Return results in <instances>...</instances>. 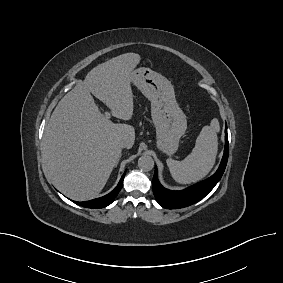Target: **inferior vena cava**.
<instances>
[{
  "instance_id": "1",
  "label": "inferior vena cava",
  "mask_w": 283,
  "mask_h": 283,
  "mask_svg": "<svg viewBox=\"0 0 283 283\" xmlns=\"http://www.w3.org/2000/svg\"><path fill=\"white\" fill-rule=\"evenodd\" d=\"M119 146H120V148H126L127 147V142L121 141Z\"/></svg>"
}]
</instances>
